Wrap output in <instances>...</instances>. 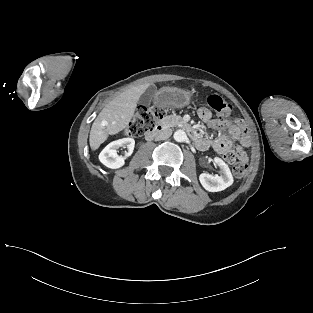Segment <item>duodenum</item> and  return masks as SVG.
<instances>
[{
	"label": "duodenum",
	"instance_id": "1",
	"mask_svg": "<svg viewBox=\"0 0 313 313\" xmlns=\"http://www.w3.org/2000/svg\"><path fill=\"white\" fill-rule=\"evenodd\" d=\"M182 128L187 131V133L190 135V137L193 140H196L198 138V133L197 131L189 124L187 123H182L181 124ZM167 129V125L165 123H160L156 126L154 130L146 134V139L147 140H153L159 136H161L165 130Z\"/></svg>",
	"mask_w": 313,
	"mask_h": 313
}]
</instances>
